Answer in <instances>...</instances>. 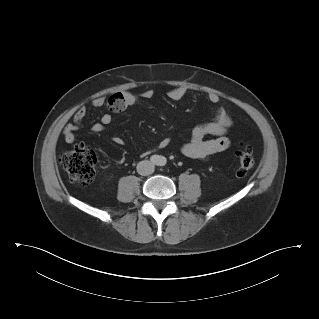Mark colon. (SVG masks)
I'll return each mask as SVG.
<instances>
[{
    "label": "colon",
    "instance_id": "5ec220e1",
    "mask_svg": "<svg viewBox=\"0 0 319 319\" xmlns=\"http://www.w3.org/2000/svg\"><path fill=\"white\" fill-rule=\"evenodd\" d=\"M121 94H115L110 99L111 108L121 111L119 103ZM237 175L245 176L255 165V158L251 148L242 147L237 151ZM97 156L95 151L87 145L81 144L73 150L64 152L59 157L60 166L66 171L72 182L89 185L95 177Z\"/></svg>",
    "mask_w": 319,
    "mask_h": 319
}]
</instances>
